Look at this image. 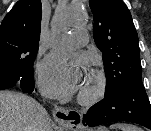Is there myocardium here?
<instances>
[{
	"label": "myocardium",
	"instance_id": "f54148a6",
	"mask_svg": "<svg viewBox=\"0 0 151 131\" xmlns=\"http://www.w3.org/2000/svg\"><path fill=\"white\" fill-rule=\"evenodd\" d=\"M91 86L78 95V101L82 105H93L99 102L107 91V78L102 71L94 70L90 74Z\"/></svg>",
	"mask_w": 151,
	"mask_h": 131
}]
</instances>
